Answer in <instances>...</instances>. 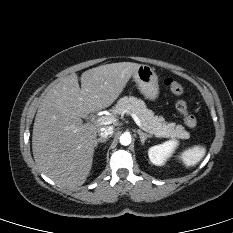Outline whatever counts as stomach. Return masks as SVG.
<instances>
[{
    "mask_svg": "<svg viewBox=\"0 0 233 233\" xmlns=\"http://www.w3.org/2000/svg\"><path fill=\"white\" fill-rule=\"evenodd\" d=\"M133 79L140 93L148 100H155L159 96L158 77L148 65H140Z\"/></svg>",
    "mask_w": 233,
    "mask_h": 233,
    "instance_id": "stomach-1",
    "label": "stomach"
}]
</instances>
